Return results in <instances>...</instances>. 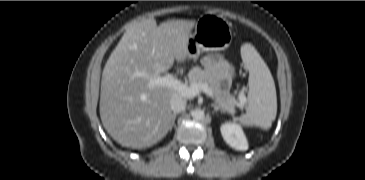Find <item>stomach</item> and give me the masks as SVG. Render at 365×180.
<instances>
[{
	"label": "stomach",
	"mask_w": 365,
	"mask_h": 180,
	"mask_svg": "<svg viewBox=\"0 0 365 180\" xmlns=\"http://www.w3.org/2000/svg\"><path fill=\"white\" fill-rule=\"evenodd\" d=\"M232 42L230 23L218 16L203 15L195 23V30L186 40L189 59H196L202 51H223Z\"/></svg>",
	"instance_id": "0dacf381"
}]
</instances>
